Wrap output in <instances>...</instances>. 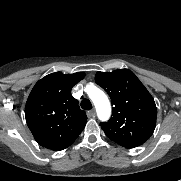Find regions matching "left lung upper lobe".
I'll return each instance as SVG.
<instances>
[{
  "label": "left lung upper lobe",
  "mask_w": 181,
  "mask_h": 181,
  "mask_svg": "<svg viewBox=\"0 0 181 181\" xmlns=\"http://www.w3.org/2000/svg\"><path fill=\"white\" fill-rule=\"evenodd\" d=\"M96 83L110 96L112 117L100 123L106 136L125 148L142 145L153 134L157 108L153 97L129 69L97 72Z\"/></svg>",
  "instance_id": "left-lung-upper-lobe-1"
}]
</instances>
